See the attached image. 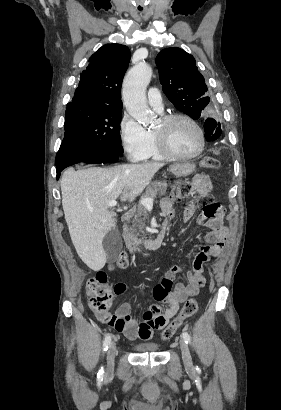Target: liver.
<instances>
[{
	"label": "liver",
	"instance_id": "liver-1",
	"mask_svg": "<svg viewBox=\"0 0 281 410\" xmlns=\"http://www.w3.org/2000/svg\"><path fill=\"white\" fill-rule=\"evenodd\" d=\"M163 166L153 162L77 171L69 168L63 173L65 220L78 256L90 269L101 270L107 261L102 242L116 227V213L108 203L119 197L132 202Z\"/></svg>",
	"mask_w": 281,
	"mask_h": 410
}]
</instances>
